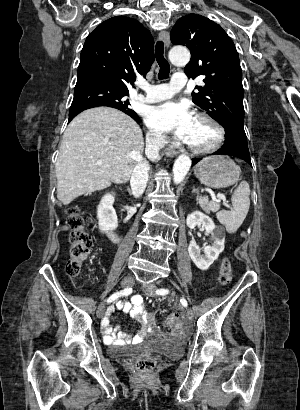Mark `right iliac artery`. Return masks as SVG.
<instances>
[{"mask_svg":"<svg viewBox=\"0 0 300 410\" xmlns=\"http://www.w3.org/2000/svg\"><path fill=\"white\" fill-rule=\"evenodd\" d=\"M131 293H132V288H125V289L121 290L120 292H116V293L112 294L107 299V303H111L112 301L116 300L117 298H119L121 296H128Z\"/></svg>","mask_w":300,"mask_h":410,"instance_id":"82829eb1","label":"right iliac artery"}]
</instances>
